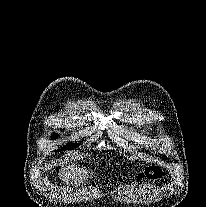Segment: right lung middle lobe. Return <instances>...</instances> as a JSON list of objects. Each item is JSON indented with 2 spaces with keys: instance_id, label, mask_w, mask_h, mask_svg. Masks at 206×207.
Listing matches in <instances>:
<instances>
[{
  "instance_id": "obj_1",
  "label": "right lung middle lobe",
  "mask_w": 206,
  "mask_h": 207,
  "mask_svg": "<svg viewBox=\"0 0 206 207\" xmlns=\"http://www.w3.org/2000/svg\"><path fill=\"white\" fill-rule=\"evenodd\" d=\"M76 147L74 144H67L65 147L62 148V150H70L72 148Z\"/></svg>"
}]
</instances>
